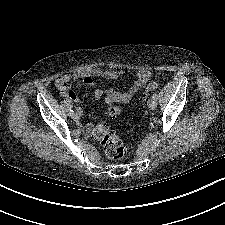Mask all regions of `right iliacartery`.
<instances>
[{"instance_id":"1","label":"right iliac artery","mask_w":225,"mask_h":225,"mask_svg":"<svg viewBox=\"0 0 225 225\" xmlns=\"http://www.w3.org/2000/svg\"><path fill=\"white\" fill-rule=\"evenodd\" d=\"M73 114H74V111H73V110H71L70 116H72Z\"/></svg>"}]
</instances>
